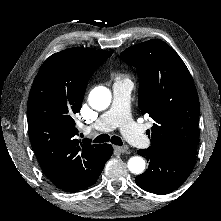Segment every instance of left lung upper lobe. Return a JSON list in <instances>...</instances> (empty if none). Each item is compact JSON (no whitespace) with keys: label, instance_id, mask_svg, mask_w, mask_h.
Segmentation results:
<instances>
[{"label":"left lung upper lobe","instance_id":"left-lung-upper-lobe-1","mask_svg":"<svg viewBox=\"0 0 221 221\" xmlns=\"http://www.w3.org/2000/svg\"><path fill=\"white\" fill-rule=\"evenodd\" d=\"M121 58L137 68L139 108L154 120L149 148L195 156L200 105L179 55L164 41L151 39L127 48Z\"/></svg>","mask_w":221,"mask_h":221}]
</instances>
